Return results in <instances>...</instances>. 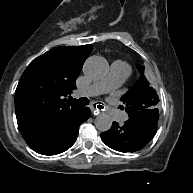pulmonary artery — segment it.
I'll return each instance as SVG.
<instances>
[{
  "label": "pulmonary artery",
  "instance_id": "1",
  "mask_svg": "<svg viewBox=\"0 0 193 193\" xmlns=\"http://www.w3.org/2000/svg\"><path fill=\"white\" fill-rule=\"evenodd\" d=\"M131 72L130 66L124 62H114L111 65V71L109 76L84 90V94L87 96H98L105 94L110 90H114L118 88L129 76ZM110 114H117V116L113 119L119 123L124 121V117L121 116L120 111L117 109L110 110Z\"/></svg>",
  "mask_w": 193,
  "mask_h": 193
}]
</instances>
